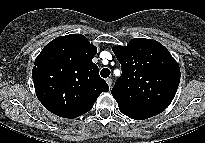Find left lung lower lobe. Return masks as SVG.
I'll return each mask as SVG.
<instances>
[{"instance_id": "0a47b994", "label": "left lung lower lobe", "mask_w": 205, "mask_h": 143, "mask_svg": "<svg viewBox=\"0 0 205 143\" xmlns=\"http://www.w3.org/2000/svg\"><path fill=\"white\" fill-rule=\"evenodd\" d=\"M119 110L124 115L132 119H135V120L147 119L155 115H158L164 111V110H159V109L131 110V109H123V108H119Z\"/></svg>"}]
</instances>
